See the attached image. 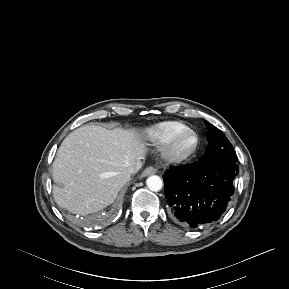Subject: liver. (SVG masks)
Returning <instances> with one entry per match:
<instances>
[{
	"label": "liver",
	"instance_id": "6515ba94",
	"mask_svg": "<svg viewBox=\"0 0 289 289\" xmlns=\"http://www.w3.org/2000/svg\"><path fill=\"white\" fill-rule=\"evenodd\" d=\"M146 150L135 129L79 127L63 140L53 162L55 202L80 215L103 209L129 181L124 171L141 168Z\"/></svg>",
	"mask_w": 289,
	"mask_h": 289
}]
</instances>
